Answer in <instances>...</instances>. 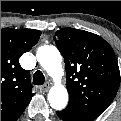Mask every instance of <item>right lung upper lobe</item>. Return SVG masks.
<instances>
[{
  "label": "right lung upper lobe",
  "mask_w": 121,
  "mask_h": 121,
  "mask_svg": "<svg viewBox=\"0 0 121 121\" xmlns=\"http://www.w3.org/2000/svg\"><path fill=\"white\" fill-rule=\"evenodd\" d=\"M40 35L34 29H1V121H15L34 95L30 73L20 66L19 58Z\"/></svg>",
  "instance_id": "cb5924a9"
}]
</instances>
